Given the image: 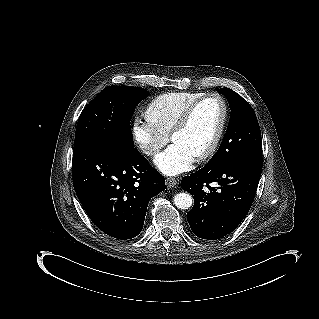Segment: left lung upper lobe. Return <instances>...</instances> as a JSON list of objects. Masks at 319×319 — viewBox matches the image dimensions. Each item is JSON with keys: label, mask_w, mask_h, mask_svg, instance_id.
<instances>
[{"label": "left lung upper lobe", "mask_w": 319, "mask_h": 319, "mask_svg": "<svg viewBox=\"0 0 319 319\" xmlns=\"http://www.w3.org/2000/svg\"><path fill=\"white\" fill-rule=\"evenodd\" d=\"M218 93L229 102L230 122L218 151L208 163H227L249 155H262L260 128L250 104L229 88H221Z\"/></svg>", "instance_id": "obj_1"}]
</instances>
